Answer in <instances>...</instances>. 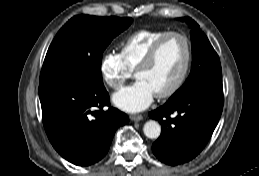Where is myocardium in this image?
Here are the masks:
<instances>
[{"instance_id":"f54148a6","label":"myocardium","mask_w":259,"mask_h":176,"mask_svg":"<svg viewBox=\"0 0 259 176\" xmlns=\"http://www.w3.org/2000/svg\"><path fill=\"white\" fill-rule=\"evenodd\" d=\"M179 37L181 38L184 43H185V48H186V57H185V62L184 66L175 80V82L165 91L156 94V97L159 99H167L173 96L177 91L182 87L183 83L185 82L187 75L189 73L191 63H192V43L189 39L188 36H186L183 33L176 32V31H169L163 36H161L149 49L145 57L142 59V61L139 63V65L135 69V75L143 70L148 68L156 59L157 54L163 45V43L170 37Z\"/></svg>"}]
</instances>
